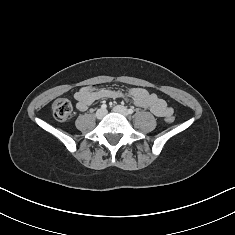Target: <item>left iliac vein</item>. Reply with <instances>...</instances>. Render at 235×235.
<instances>
[{"label":"left iliac vein","mask_w":235,"mask_h":235,"mask_svg":"<svg viewBox=\"0 0 235 235\" xmlns=\"http://www.w3.org/2000/svg\"><path fill=\"white\" fill-rule=\"evenodd\" d=\"M113 111L116 112V113L122 114L124 116L128 115V110L124 106H122V105L115 106L113 108Z\"/></svg>","instance_id":"obj_1"}]
</instances>
